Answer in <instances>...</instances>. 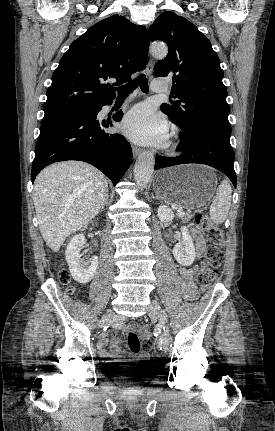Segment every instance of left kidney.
<instances>
[{
	"instance_id": "obj_1",
	"label": "left kidney",
	"mask_w": 275,
	"mask_h": 431,
	"mask_svg": "<svg viewBox=\"0 0 275 431\" xmlns=\"http://www.w3.org/2000/svg\"><path fill=\"white\" fill-rule=\"evenodd\" d=\"M158 217L161 222H170L174 218L172 210L166 205L158 208ZM182 240L173 248V255L177 262L183 266H190L196 257L193 239L186 226L181 227Z\"/></svg>"
}]
</instances>
